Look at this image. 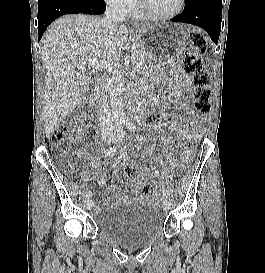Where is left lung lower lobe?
Returning <instances> with one entry per match:
<instances>
[{"label": "left lung lower lobe", "mask_w": 265, "mask_h": 273, "mask_svg": "<svg viewBox=\"0 0 265 273\" xmlns=\"http://www.w3.org/2000/svg\"><path fill=\"white\" fill-rule=\"evenodd\" d=\"M171 21L197 25L203 28L215 43H218L222 21V0H187L183 13Z\"/></svg>", "instance_id": "left-lung-lower-lobe-1"}]
</instances>
